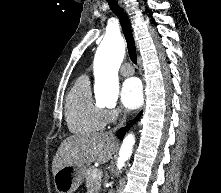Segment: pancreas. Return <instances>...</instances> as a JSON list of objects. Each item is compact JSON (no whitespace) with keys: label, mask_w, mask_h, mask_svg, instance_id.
Instances as JSON below:
<instances>
[{"label":"pancreas","mask_w":221,"mask_h":193,"mask_svg":"<svg viewBox=\"0 0 221 193\" xmlns=\"http://www.w3.org/2000/svg\"><path fill=\"white\" fill-rule=\"evenodd\" d=\"M95 170L94 167H89L85 173L86 187L89 190V193H99L101 189V175L93 178L92 173Z\"/></svg>","instance_id":"obj_1"}]
</instances>
